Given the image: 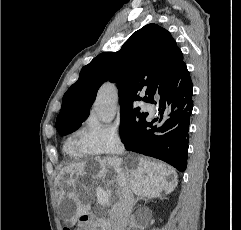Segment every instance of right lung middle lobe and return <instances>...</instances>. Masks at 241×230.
Instances as JSON below:
<instances>
[{
	"mask_svg": "<svg viewBox=\"0 0 241 230\" xmlns=\"http://www.w3.org/2000/svg\"><path fill=\"white\" fill-rule=\"evenodd\" d=\"M147 113H140V108L133 109L132 106L121 108V140L126 141L130 134L135 130L145 119ZM80 125L66 129L63 131H58L61 135L69 134L75 131Z\"/></svg>",
	"mask_w": 241,
	"mask_h": 230,
	"instance_id": "obj_1",
	"label": "right lung middle lobe"
}]
</instances>
